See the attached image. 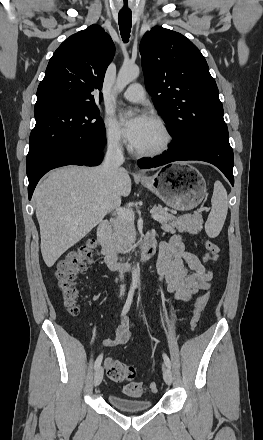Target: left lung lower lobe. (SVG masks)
Instances as JSON below:
<instances>
[{
    "instance_id": "obj_1",
    "label": "left lung lower lobe",
    "mask_w": 263,
    "mask_h": 440,
    "mask_svg": "<svg viewBox=\"0 0 263 440\" xmlns=\"http://www.w3.org/2000/svg\"><path fill=\"white\" fill-rule=\"evenodd\" d=\"M180 160L209 162L218 167L228 178L230 183L234 185V156L228 136L212 138L190 153H183L174 144H171L170 148L163 155L154 158L140 159L138 166L142 169H148Z\"/></svg>"
}]
</instances>
